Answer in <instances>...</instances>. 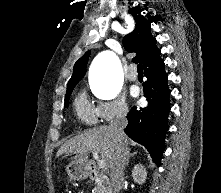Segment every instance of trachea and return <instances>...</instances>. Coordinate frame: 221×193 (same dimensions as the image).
<instances>
[{"mask_svg":"<svg viewBox=\"0 0 221 193\" xmlns=\"http://www.w3.org/2000/svg\"><path fill=\"white\" fill-rule=\"evenodd\" d=\"M137 71H138V73H143V67L141 64L137 65Z\"/></svg>","mask_w":221,"mask_h":193,"instance_id":"3493384b","label":"trachea"}]
</instances>
